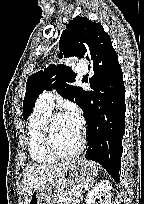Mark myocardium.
<instances>
[{
    "instance_id": "myocardium-1",
    "label": "myocardium",
    "mask_w": 144,
    "mask_h": 204,
    "mask_svg": "<svg viewBox=\"0 0 144 204\" xmlns=\"http://www.w3.org/2000/svg\"><path fill=\"white\" fill-rule=\"evenodd\" d=\"M61 116H63L61 113H52L47 118V121L45 123V128H44V144L48 153L52 155L54 158L69 159V158L76 157L81 153L84 145V136L82 133H80L77 146L73 151L68 153L61 152L55 144L54 133H53L55 120Z\"/></svg>"
}]
</instances>
